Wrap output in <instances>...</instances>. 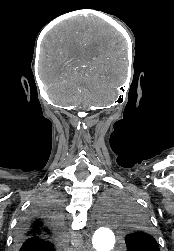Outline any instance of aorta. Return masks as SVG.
<instances>
[{"label":"aorta","mask_w":174,"mask_h":251,"mask_svg":"<svg viewBox=\"0 0 174 251\" xmlns=\"http://www.w3.org/2000/svg\"><path fill=\"white\" fill-rule=\"evenodd\" d=\"M97 229L93 235L92 243L96 251H110L114 247L115 237L113 230L117 222L114 217L105 211L98 218Z\"/></svg>","instance_id":"1"}]
</instances>
